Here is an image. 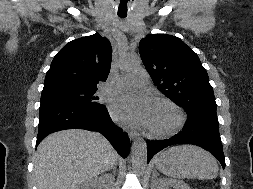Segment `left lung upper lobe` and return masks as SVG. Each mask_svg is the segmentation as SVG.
<instances>
[{
    "label": "left lung upper lobe",
    "mask_w": 253,
    "mask_h": 189,
    "mask_svg": "<svg viewBox=\"0 0 253 189\" xmlns=\"http://www.w3.org/2000/svg\"><path fill=\"white\" fill-rule=\"evenodd\" d=\"M139 52L157 88L181 105L188 116L217 119L207 71L198 55L181 39L150 34L140 41Z\"/></svg>",
    "instance_id": "obj_1"
}]
</instances>
